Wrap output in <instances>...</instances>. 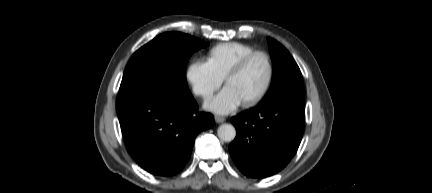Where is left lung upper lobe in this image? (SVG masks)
<instances>
[{
  "label": "left lung upper lobe",
  "instance_id": "left-lung-upper-lobe-1",
  "mask_svg": "<svg viewBox=\"0 0 432 193\" xmlns=\"http://www.w3.org/2000/svg\"><path fill=\"white\" fill-rule=\"evenodd\" d=\"M273 61L272 83L260 105L272 102L304 106L303 79L290 53L276 40L268 38Z\"/></svg>",
  "mask_w": 432,
  "mask_h": 193
}]
</instances>
